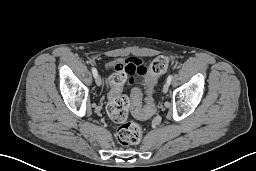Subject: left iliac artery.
<instances>
[{
    "label": "left iliac artery",
    "instance_id": "left-iliac-artery-1",
    "mask_svg": "<svg viewBox=\"0 0 256 171\" xmlns=\"http://www.w3.org/2000/svg\"><path fill=\"white\" fill-rule=\"evenodd\" d=\"M171 81H172V75L171 74H169L168 75V77H167V83H171Z\"/></svg>",
    "mask_w": 256,
    "mask_h": 171
}]
</instances>
